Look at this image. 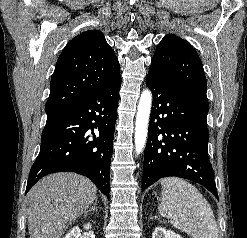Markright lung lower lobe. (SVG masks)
<instances>
[{"instance_id": "right-lung-lower-lobe-1", "label": "right lung lower lobe", "mask_w": 247, "mask_h": 238, "mask_svg": "<svg viewBox=\"0 0 247 238\" xmlns=\"http://www.w3.org/2000/svg\"><path fill=\"white\" fill-rule=\"evenodd\" d=\"M121 77L79 103L47 118L40 153L26 192L42 177L75 172L91 179L109 198L110 161Z\"/></svg>"}]
</instances>
